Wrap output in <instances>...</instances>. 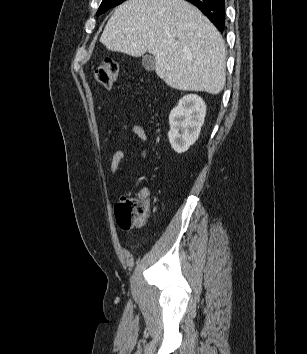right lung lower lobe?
I'll return each instance as SVG.
<instances>
[{"mask_svg":"<svg viewBox=\"0 0 307 354\" xmlns=\"http://www.w3.org/2000/svg\"><path fill=\"white\" fill-rule=\"evenodd\" d=\"M199 8L220 32L225 29V0H186Z\"/></svg>","mask_w":307,"mask_h":354,"instance_id":"right-lung-lower-lobe-1","label":"right lung lower lobe"}]
</instances>
